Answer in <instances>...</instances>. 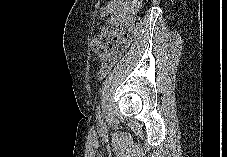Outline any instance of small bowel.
<instances>
[{
  "mask_svg": "<svg viewBox=\"0 0 227 157\" xmlns=\"http://www.w3.org/2000/svg\"><path fill=\"white\" fill-rule=\"evenodd\" d=\"M142 0H110L100 10L101 17L107 18L110 24L117 25L115 38H119L130 25L131 17L140 8Z\"/></svg>",
  "mask_w": 227,
  "mask_h": 157,
  "instance_id": "1",
  "label": "small bowel"
}]
</instances>
